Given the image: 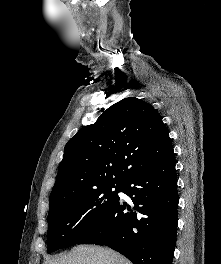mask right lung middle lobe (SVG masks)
<instances>
[{
    "mask_svg": "<svg viewBox=\"0 0 221 264\" xmlns=\"http://www.w3.org/2000/svg\"><path fill=\"white\" fill-rule=\"evenodd\" d=\"M121 188L122 183H109L78 192L50 210L47 253L78 244L86 238L118 203Z\"/></svg>",
    "mask_w": 221,
    "mask_h": 264,
    "instance_id": "1",
    "label": "right lung middle lobe"
}]
</instances>
